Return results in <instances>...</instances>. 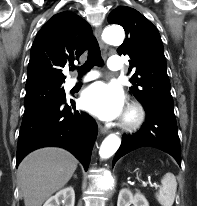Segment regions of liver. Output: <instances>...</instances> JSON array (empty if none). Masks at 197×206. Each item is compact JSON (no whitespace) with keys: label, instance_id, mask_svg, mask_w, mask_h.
I'll list each match as a JSON object with an SVG mask.
<instances>
[{"label":"liver","instance_id":"obj_1","mask_svg":"<svg viewBox=\"0 0 197 206\" xmlns=\"http://www.w3.org/2000/svg\"><path fill=\"white\" fill-rule=\"evenodd\" d=\"M77 164V159L61 148H42L27 155L17 171L25 206H42L67 184Z\"/></svg>","mask_w":197,"mask_h":206}]
</instances>
